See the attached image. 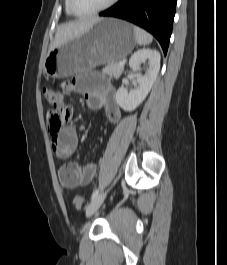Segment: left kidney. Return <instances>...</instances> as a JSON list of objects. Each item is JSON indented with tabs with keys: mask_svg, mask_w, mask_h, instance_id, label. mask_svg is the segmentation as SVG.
Wrapping results in <instances>:
<instances>
[{
	"mask_svg": "<svg viewBox=\"0 0 227 265\" xmlns=\"http://www.w3.org/2000/svg\"><path fill=\"white\" fill-rule=\"evenodd\" d=\"M160 60V53L153 49H141L131 56L129 66L133 70H137L145 61H148L149 68L145 75L137 76L138 86L136 88L130 92L124 87L117 90L116 101L123 110L133 111L144 101L158 76Z\"/></svg>",
	"mask_w": 227,
	"mask_h": 265,
	"instance_id": "obj_1",
	"label": "left kidney"
}]
</instances>
